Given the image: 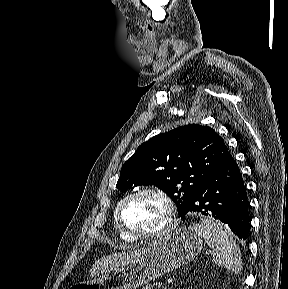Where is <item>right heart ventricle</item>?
Here are the masks:
<instances>
[{
  "label": "right heart ventricle",
  "mask_w": 288,
  "mask_h": 289,
  "mask_svg": "<svg viewBox=\"0 0 288 289\" xmlns=\"http://www.w3.org/2000/svg\"><path fill=\"white\" fill-rule=\"evenodd\" d=\"M128 195L123 196L116 204L114 211H113V215H112V221H113V226L115 229V232L117 234V236L124 242H133L134 239L128 237L119 227L118 222H117V211L121 205V203L126 199Z\"/></svg>",
  "instance_id": "obj_1"
}]
</instances>
